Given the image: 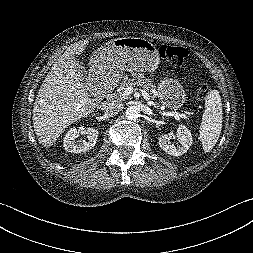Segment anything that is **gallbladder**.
Wrapping results in <instances>:
<instances>
[{
	"label": "gallbladder",
	"mask_w": 253,
	"mask_h": 253,
	"mask_svg": "<svg viewBox=\"0 0 253 253\" xmlns=\"http://www.w3.org/2000/svg\"><path fill=\"white\" fill-rule=\"evenodd\" d=\"M82 83L86 86L87 85V77H86V72L82 70Z\"/></svg>",
	"instance_id": "gallbladder-1"
}]
</instances>
